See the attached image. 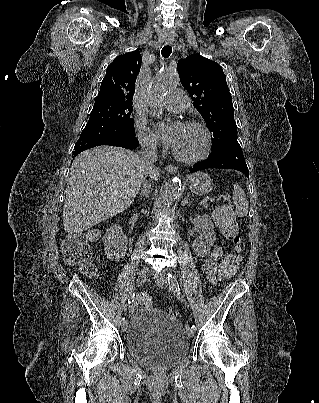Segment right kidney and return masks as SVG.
I'll return each instance as SVG.
<instances>
[{
  "label": "right kidney",
  "instance_id": "ca27d5eb",
  "mask_svg": "<svg viewBox=\"0 0 319 403\" xmlns=\"http://www.w3.org/2000/svg\"><path fill=\"white\" fill-rule=\"evenodd\" d=\"M102 240L105 255L110 261L117 262L125 256L128 240L119 224L107 229Z\"/></svg>",
  "mask_w": 319,
  "mask_h": 403
}]
</instances>
